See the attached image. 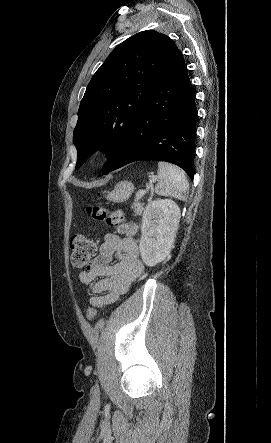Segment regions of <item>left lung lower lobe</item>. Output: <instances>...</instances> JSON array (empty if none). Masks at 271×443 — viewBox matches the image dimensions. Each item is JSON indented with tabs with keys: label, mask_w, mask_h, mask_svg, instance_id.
Returning <instances> with one entry per match:
<instances>
[{
	"label": "left lung lower lobe",
	"mask_w": 271,
	"mask_h": 443,
	"mask_svg": "<svg viewBox=\"0 0 271 443\" xmlns=\"http://www.w3.org/2000/svg\"><path fill=\"white\" fill-rule=\"evenodd\" d=\"M196 119L194 91L178 49L149 85L145 108L110 171L134 161L156 160L178 165L193 179Z\"/></svg>",
	"instance_id": "1"
}]
</instances>
